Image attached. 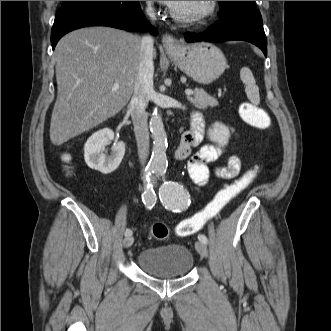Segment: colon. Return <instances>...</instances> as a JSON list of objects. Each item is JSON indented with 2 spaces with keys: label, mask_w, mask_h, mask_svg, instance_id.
<instances>
[{
  "label": "colon",
  "mask_w": 331,
  "mask_h": 331,
  "mask_svg": "<svg viewBox=\"0 0 331 331\" xmlns=\"http://www.w3.org/2000/svg\"><path fill=\"white\" fill-rule=\"evenodd\" d=\"M240 113L246 123L257 129L264 130L271 125L269 114L253 104H242ZM65 159L67 160L68 157L66 156ZM67 173H70L69 169H67ZM255 177V170H251L227 184L200 212L180 222L176 229L177 234L185 237L198 231L208 221L217 217L236 196L254 181ZM152 234L157 239H163L167 236L168 229L164 224L156 223L152 227Z\"/></svg>",
  "instance_id": "5ec220e1"
}]
</instances>
